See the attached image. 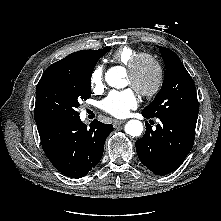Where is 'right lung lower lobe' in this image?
Instances as JSON below:
<instances>
[{"instance_id":"obj_1","label":"right lung lower lobe","mask_w":221,"mask_h":221,"mask_svg":"<svg viewBox=\"0 0 221 221\" xmlns=\"http://www.w3.org/2000/svg\"><path fill=\"white\" fill-rule=\"evenodd\" d=\"M111 124L94 120L90 128L80 117L38 126L42 148L52 165L71 178H82L100 161Z\"/></svg>"}]
</instances>
